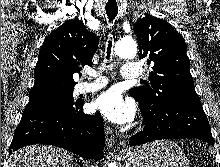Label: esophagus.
Returning <instances> with one entry per match:
<instances>
[{
  "mask_svg": "<svg viewBox=\"0 0 220 167\" xmlns=\"http://www.w3.org/2000/svg\"><path fill=\"white\" fill-rule=\"evenodd\" d=\"M115 136L113 130L106 125L105 126V143L108 149L112 148L114 145Z\"/></svg>",
  "mask_w": 220,
  "mask_h": 167,
  "instance_id": "1",
  "label": "esophagus"
}]
</instances>
